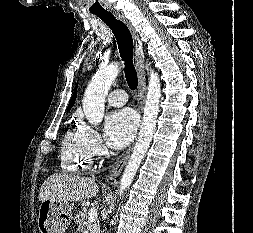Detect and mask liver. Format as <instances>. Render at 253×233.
Returning a JSON list of instances; mask_svg holds the SVG:
<instances>
[{"instance_id":"1","label":"liver","mask_w":253,"mask_h":233,"mask_svg":"<svg viewBox=\"0 0 253 233\" xmlns=\"http://www.w3.org/2000/svg\"><path fill=\"white\" fill-rule=\"evenodd\" d=\"M98 192L94 178L55 173L44 181L38 199L77 202L95 197Z\"/></svg>"}]
</instances>
